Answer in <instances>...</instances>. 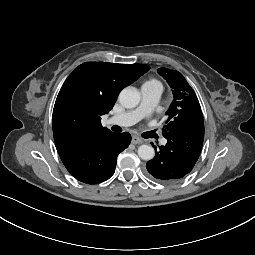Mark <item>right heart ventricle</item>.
I'll return each instance as SVG.
<instances>
[{
  "label": "right heart ventricle",
  "instance_id": "right-heart-ventricle-1",
  "mask_svg": "<svg viewBox=\"0 0 255 255\" xmlns=\"http://www.w3.org/2000/svg\"><path fill=\"white\" fill-rule=\"evenodd\" d=\"M147 83H156V84H159L156 80H150Z\"/></svg>",
  "mask_w": 255,
  "mask_h": 255
}]
</instances>
